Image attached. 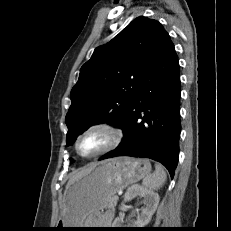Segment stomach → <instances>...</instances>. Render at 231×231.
<instances>
[{
    "mask_svg": "<svg viewBox=\"0 0 231 231\" xmlns=\"http://www.w3.org/2000/svg\"><path fill=\"white\" fill-rule=\"evenodd\" d=\"M147 159L118 157L97 164L93 170L72 182L64 195V211L57 223L64 228H86L89 216L108 208L110 199L130 184L150 174Z\"/></svg>",
    "mask_w": 231,
    "mask_h": 231,
    "instance_id": "1",
    "label": "stomach"
}]
</instances>
